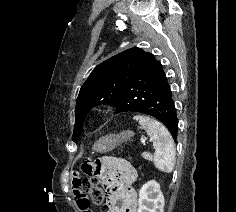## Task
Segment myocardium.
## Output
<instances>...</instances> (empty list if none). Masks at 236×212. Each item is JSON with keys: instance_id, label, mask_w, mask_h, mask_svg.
Returning <instances> with one entry per match:
<instances>
[{"instance_id": "myocardium-1", "label": "myocardium", "mask_w": 236, "mask_h": 212, "mask_svg": "<svg viewBox=\"0 0 236 212\" xmlns=\"http://www.w3.org/2000/svg\"><path fill=\"white\" fill-rule=\"evenodd\" d=\"M99 119V114H96V115H94V120H98Z\"/></svg>"}]
</instances>
